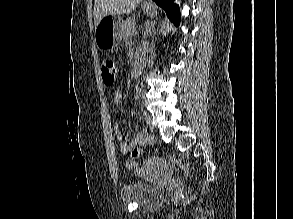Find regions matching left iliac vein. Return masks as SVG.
Instances as JSON below:
<instances>
[{
  "label": "left iliac vein",
  "instance_id": "4c4485c4",
  "mask_svg": "<svg viewBox=\"0 0 293 219\" xmlns=\"http://www.w3.org/2000/svg\"><path fill=\"white\" fill-rule=\"evenodd\" d=\"M144 115H145V122H146L147 127L150 130H153L154 127H153V124H152L151 115L147 111L144 112Z\"/></svg>",
  "mask_w": 293,
  "mask_h": 219
}]
</instances>
